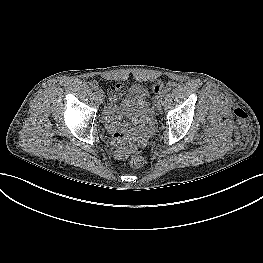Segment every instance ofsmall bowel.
Segmentation results:
<instances>
[{"instance_id": "1", "label": "small bowel", "mask_w": 263, "mask_h": 263, "mask_svg": "<svg viewBox=\"0 0 263 263\" xmlns=\"http://www.w3.org/2000/svg\"><path fill=\"white\" fill-rule=\"evenodd\" d=\"M127 77V75H121V79H125ZM135 90L137 91V92H141V93H144V89L142 88V87H140V86H136L135 87ZM146 117H147V114H144V117H142L143 118V120L142 121H145V119H146ZM127 135H124V139L127 141Z\"/></svg>"}]
</instances>
